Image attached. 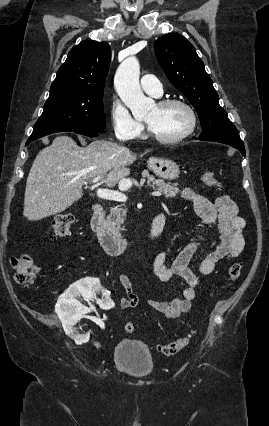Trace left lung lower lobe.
Here are the masks:
<instances>
[{
	"mask_svg": "<svg viewBox=\"0 0 269 426\" xmlns=\"http://www.w3.org/2000/svg\"><path fill=\"white\" fill-rule=\"evenodd\" d=\"M199 140L214 141V142H220V143L230 145L238 149L242 153V155L245 156V147L238 132H234V133H230L226 135H219L213 138H205V137L199 136Z\"/></svg>",
	"mask_w": 269,
	"mask_h": 426,
	"instance_id": "obj_1",
	"label": "left lung lower lobe"
}]
</instances>
